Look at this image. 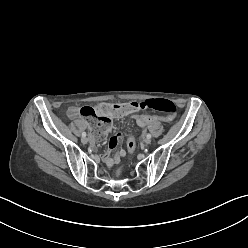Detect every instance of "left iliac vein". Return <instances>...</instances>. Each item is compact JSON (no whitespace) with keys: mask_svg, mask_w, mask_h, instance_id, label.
<instances>
[{"mask_svg":"<svg viewBox=\"0 0 248 248\" xmlns=\"http://www.w3.org/2000/svg\"><path fill=\"white\" fill-rule=\"evenodd\" d=\"M144 142H145L146 144H150V143H151V140H150L149 138H146V139L144 140Z\"/></svg>","mask_w":248,"mask_h":248,"instance_id":"obj_1","label":"left iliac vein"}]
</instances>
